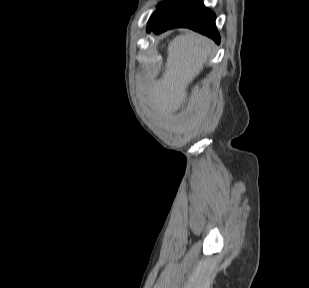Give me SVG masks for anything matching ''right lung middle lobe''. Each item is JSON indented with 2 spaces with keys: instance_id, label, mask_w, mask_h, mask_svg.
I'll list each match as a JSON object with an SVG mask.
<instances>
[{
  "instance_id": "dd1d6c3e",
  "label": "right lung middle lobe",
  "mask_w": 309,
  "mask_h": 288,
  "mask_svg": "<svg viewBox=\"0 0 309 288\" xmlns=\"http://www.w3.org/2000/svg\"><path fill=\"white\" fill-rule=\"evenodd\" d=\"M184 0H166L161 3L159 8L151 15L148 26L157 23L163 16H165L170 11L179 7Z\"/></svg>"
}]
</instances>
